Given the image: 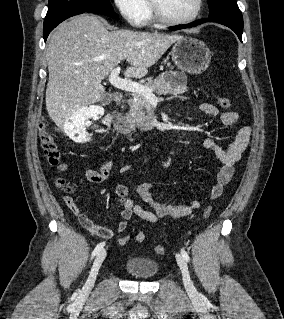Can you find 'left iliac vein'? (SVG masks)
Segmentation results:
<instances>
[{"label": "left iliac vein", "mask_w": 284, "mask_h": 319, "mask_svg": "<svg viewBox=\"0 0 284 319\" xmlns=\"http://www.w3.org/2000/svg\"><path fill=\"white\" fill-rule=\"evenodd\" d=\"M176 260H177V264L181 270L182 279H183V283H184L186 290L189 293L194 294L196 292V289H195L194 284L190 278V274H189L186 260L184 259V257L181 254H176Z\"/></svg>", "instance_id": "4c4485c4"}]
</instances>
